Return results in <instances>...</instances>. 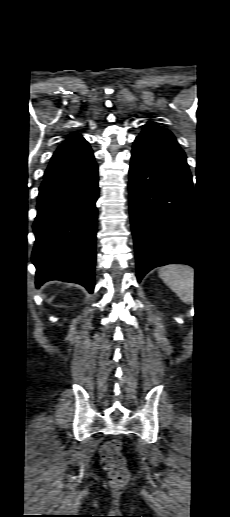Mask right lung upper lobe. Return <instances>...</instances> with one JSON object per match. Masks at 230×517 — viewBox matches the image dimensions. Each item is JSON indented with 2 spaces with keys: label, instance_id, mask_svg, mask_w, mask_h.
<instances>
[{
  "label": "right lung upper lobe",
  "instance_id": "obj_1",
  "mask_svg": "<svg viewBox=\"0 0 230 517\" xmlns=\"http://www.w3.org/2000/svg\"><path fill=\"white\" fill-rule=\"evenodd\" d=\"M94 162L92 150L78 133L70 134L52 156L43 182H53L73 175Z\"/></svg>",
  "mask_w": 230,
  "mask_h": 517
}]
</instances>
